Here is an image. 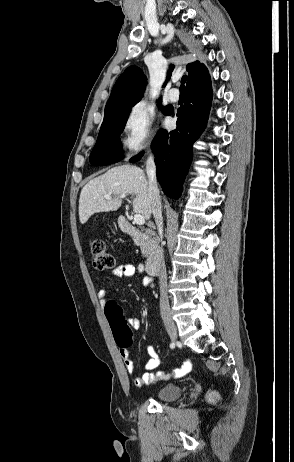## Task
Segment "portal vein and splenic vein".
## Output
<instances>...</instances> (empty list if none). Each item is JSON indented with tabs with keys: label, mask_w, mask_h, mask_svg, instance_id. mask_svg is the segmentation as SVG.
I'll use <instances>...</instances> for the list:
<instances>
[{
	"label": "portal vein and splenic vein",
	"mask_w": 294,
	"mask_h": 462,
	"mask_svg": "<svg viewBox=\"0 0 294 462\" xmlns=\"http://www.w3.org/2000/svg\"><path fill=\"white\" fill-rule=\"evenodd\" d=\"M124 196H121L123 198ZM105 199H110V195H105ZM134 223L137 225H143L145 223V218L141 214H135L134 215Z\"/></svg>",
	"instance_id": "obj_1"
}]
</instances>
